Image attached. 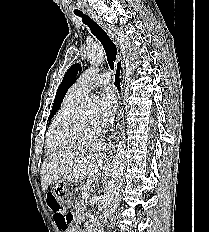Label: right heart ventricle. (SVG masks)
<instances>
[{
	"label": "right heart ventricle",
	"mask_w": 209,
	"mask_h": 232,
	"mask_svg": "<svg viewBox=\"0 0 209 232\" xmlns=\"http://www.w3.org/2000/svg\"><path fill=\"white\" fill-rule=\"evenodd\" d=\"M80 101L81 99L73 97L69 92L67 93L59 110L55 114L47 133L46 147L49 151H57L76 142L61 138L57 130L64 118L78 107Z\"/></svg>",
	"instance_id": "obj_1"
}]
</instances>
